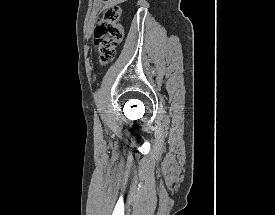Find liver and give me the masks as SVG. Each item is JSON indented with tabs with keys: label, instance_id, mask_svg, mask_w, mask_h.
Returning <instances> with one entry per match:
<instances>
[{
	"label": "liver",
	"instance_id": "obj_1",
	"mask_svg": "<svg viewBox=\"0 0 275 215\" xmlns=\"http://www.w3.org/2000/svg\"><path fill=\"white\" fill-rule=\"evenodd\" d=\"M125 0H117V2H124Z\"/></svg>",
	"mask_w": 275,
	"mask_h": 215
}]
</instances>
